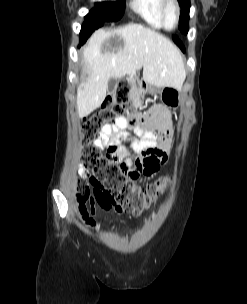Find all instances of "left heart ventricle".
Listing matches in <instances>:
<instances>
[{"instance_id": "obj_1", "label": "left heart ventricle", "mask_w": 247, "mask_h": 304, "mask_svg": "<svg viewBox=\"0 0 247 304\" xmlns=\"http://www.w3.org/2000/svg\"><path fill=\"white\" fill-rule=\"evenodd\" d=\"M166 21L168 27H173L176 22V11L173 6H169L166 13Z\"/></svg>"}]
</instances>
